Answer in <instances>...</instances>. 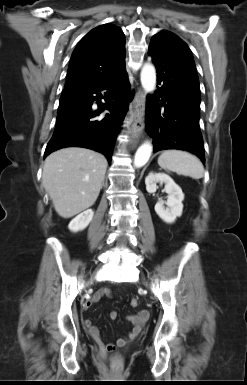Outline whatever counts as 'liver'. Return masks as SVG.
Listing matches in <instances>:
<instances>
[{
  "instance_id": "1",
  "label": "liver",
  "mask_w": 247,
  "mask_h": 385,
  "mask_svg": "<svg viewBox=\"0 0 247 385\" xmlns=\"http://www.w3.org/2000/svg\"><path fill=\"white\" fill-rule=\"evenodd\" d=\"M106 168V158L86 148L69 147L51 153L44 162L42 184L58 215L71 218L91 207Z\"/></svg>"
}]
</instances>
